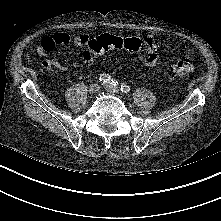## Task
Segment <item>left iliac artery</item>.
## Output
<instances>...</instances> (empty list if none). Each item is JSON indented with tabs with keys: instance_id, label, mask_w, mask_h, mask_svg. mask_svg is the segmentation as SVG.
<instances>
[{
	"instance_id": "1",
	"label": "left iliac artery",
	"mask_w": 221,
	"mask_h": 221,
	"mask_svg": "<svg viewBox=\"0 0 221 221\" xmlns=\"http://www.w3.org/2000/svg\"><path fill=\"white\" fill-rule=\"evenodd\" d=\"M113 86H116L118 84V82L113 81V83H111ZM121 91L123 93H128L130 91V87L127 84H122L121 85Z\"/></svg>"
}]
</instances>
